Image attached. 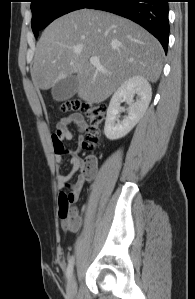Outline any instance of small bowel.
I'll use <instances>...</instances> for the list:
<instances>
[{
  "label": "small bowel",
  "instance_id": "small-bowel-1",
  "mask_svg": "<svg viewBox=\"0 0 195 299\" xmlns=\"http://www.w3.org/2000/svg\"><path fill=\"white\" fill-rule=\"evenodd\" d=\"M75 125L80 132H85L87 130V123L85 119L79 114H72L67 117L62 118L57 126V131L52 135V141L55 148L56 153V162L57 165L60 166L63 163V155H70V165L71 170L68 174L58 175V188L63 189L67 183L70 181L72 176L82 167H84V163L80 159L79 153L82 150V142L84 140V136L81 135L78 139V146L73 150L65 149L63 146L64 142L71 141L73 139V132L71 130V126ZM89 166L92 169L93 175L96 169L95 159L90 158L88 160ZM83 179L81 176L77 178V182L72 186L69 193L73 194L74 200L77 199L78 194L81 189ZM83 224L82 216L77 212L75 216L69 217H61V225L62 227L71 232L78 231Z\"/></svg>",
  "mask_w": 195,
  "mask_h": 299
}]
</instances>
